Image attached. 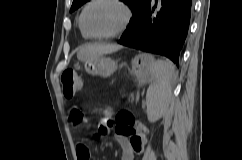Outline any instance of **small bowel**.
Masks as SVG:
<instances>
[{
    "label": "small bowel",
    "mask_w": 242,
    "mask_h": 160,
    "mask_svg": "<svg viewBox=\"0 0 242 160\" xmlns=\"http://www.w3.org/2000/svg\"><path fill=\"white\" fill-rule=\"evenodd\" d=\"M73 119L75 121L80 120V118L75 119L74 117ZM112 127L116 132V139L122 150L121 160H134L135 155L143 152L146 143L145 128L143 125H138L131 133H121L117 131V125L113 124L111 119L105 118L102 121L101 132L106 133ZM76 151L78 160H90V149L86 143L82 142L78 144Z\"/></svg>",
    "instance_id": "small-bowel-1"
}]
</instances>
